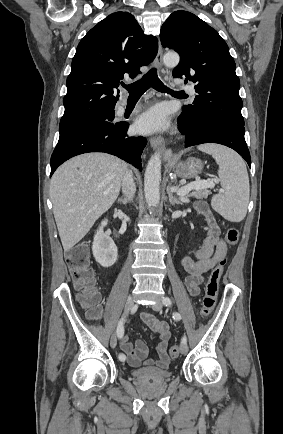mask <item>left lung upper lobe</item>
<instances>
[{"label": "left lung upper lobe", "mask_w": 283, "mask_h": 434, "mask_svg": "<svg viewBox=\"0 0 283 434\" xmlns=\"http://www.w3.org/2000/svg\"><path fill=\"white\" fill-rule=\"evenodd\" d=\"M160 40L163 47L180 55L173 77L195 83L198 95L193 104L183 106L179 116L188 128L194 129L213 118L244 125L236 65L218 32L196 15L180 10L162 25Z\"/></svg>", "instance_id": "1"}]
</instances>
